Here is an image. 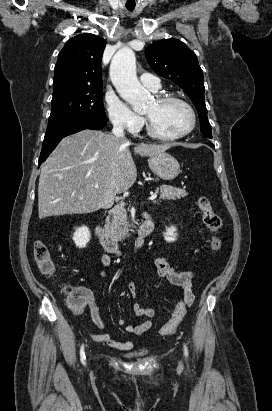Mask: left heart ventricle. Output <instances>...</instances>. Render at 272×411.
Returning a JSON list of instances; mask_svg holds the SVG:
<instances>
[{
	"instance_id": "b2bd125f",
	"label": "left heart ventricle",
	"mask_w": 272,
	"mask_h": 411,
	"mask_svg": "<svg viewBox=\"0 0 272 411\" xmlns=\"http://www.w3.org/2000/svg\"><path fill=\"white\" fill-rule=\"evenodd\" d=\"M154 128L164 135H177L191 124L189 110L180 103L162 105L154 99L143 110Z\"/></svg>"
}]
</instances>
